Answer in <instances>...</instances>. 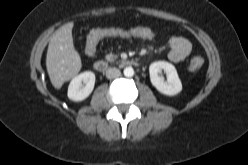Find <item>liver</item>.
Here are the masks:
<instances>
[{"label": "liver", "mask_w": 248, "mask_h": 165, "mask_svg": "<svg viewBox=\"0 0 248 165\" xmlns=\"http://www.w3.org/2000/svg\"><path fill=\"white\" fill-rule=\"evenodd\" d=\"M72 28L73 22L61 26L51 36L48 45L46 67L56 89L76 76L82 66L80 55L74 48Z\"/></svg>", "instance_id": "6515ba94"}]
</instances>
